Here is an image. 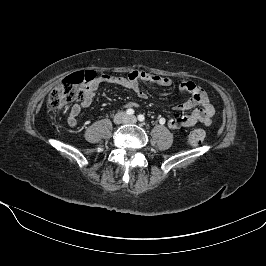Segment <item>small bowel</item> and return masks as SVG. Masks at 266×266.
I'll return each instance as SVG.
<instances>
[{
	"label": "small bowel",
	"mask_w": 266,
	"mask_h": 266,
	"mask_svg": "<svg viewBox=\"0 0 266 266\" xmlns=\"http://www.w3.org/2000/svg\"><path fill=\"white\" fill-rule=\"evenodd\" d=\"M104 82L117 84L124 88L131 89L141 99H145L147 97V94L141 88V84H156L165 88L171 86V80L168 77L145 71H132L127 76H114L109 74H102L99 77H97L85 89L82 101L80 103L74 104L71 107L67 118L69 126L71 127L77 126L78 115L83 109L88 108L92 104L99 90L100 84ZM178 91L189 94L190 97L184 103L176 105L174 107V110L175 111L190 110V113L170 119L168 121V126L171 129H179L183 127H191L197 123L210 125L212 117L215 113V109L212 103L210 102L206 92L192 81H185L181 83L178 87ZM136 106L137 104L134 102H128L126 104V107L130 108Z\"/></svg>",
	"instance_id": "c3829d8e"
}]
</instances>
